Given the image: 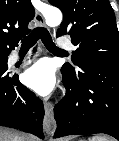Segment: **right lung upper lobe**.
Masks as SVG:
<instances>
[{"instance_id": "obj_1", "label": "right lung upper lobe", "mask_w": 119, "mask_h": 141, "mask_svg": "<svg viewBox=\"0 0 119 141\" xmlns=\"http://www.w3.org/2000/svg\"><path fill=\"white\" fill-rule=\"evenodd\" d=\"M35 10L30 0H0V58L6 57L30 30Z\"/></svg>"}]
</instances>
